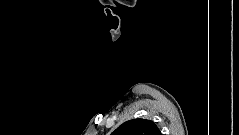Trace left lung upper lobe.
Listing matches in <instances>:
<instances>
[{
	"instance_id": "5c2ea615",
	"label": "left lung upper lobe",
	"mask_w": 239,
	"mask_h": 135,
	"mask_svg": "<svg viewBox=\"0 0 239 135\" xmlns=\"http://www.w3.org/2000/svg\"><path fill=\"white\" fill-rule=\"evenodd\" d=\"M111 135H161V132L150 120L132 119L120 125Z\"/></svg>"
}]
</instances>
